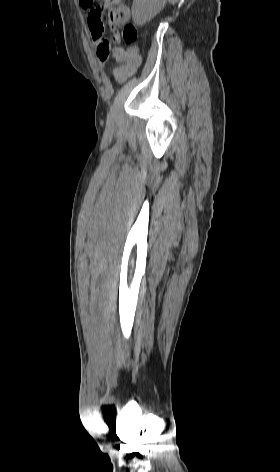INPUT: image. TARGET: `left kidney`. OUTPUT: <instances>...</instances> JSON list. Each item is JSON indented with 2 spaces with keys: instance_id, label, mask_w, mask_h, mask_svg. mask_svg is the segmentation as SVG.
I'll return each mask as SVG.
<instances>
[{
  "instance_id": "5707ae66",
  "label": "left kidney",
  "mask_w": 280,
  "mask_h": 472,
  "mask_svg": "<svg viewBox=\"0 0 280 472\" xmlns=\"http://www.w3.org/2000/svg\"><path fill=\"white\" fill-rule=\"evenodd\" d=\"M162 8V0H133L132 17L136 25L153 19Z\"/></svg>"
}]
</instances>
